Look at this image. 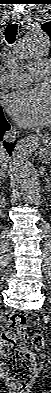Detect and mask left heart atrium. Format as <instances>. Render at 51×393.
<instances>
[{
    "mask_svg": "<svg viewBox=\"0 0 51 393\" xmlns=\"http://www.w3.org/2000/svg\"><path fill=\"white\" fill-rule=\"evenodd\" d=\"M8 112L25 126H48L51 122V97L44 89H25L8 96Z\"/></svg>",
    "mask_w": 51,
    "mask_h": 393,
    "instance_id": "left-heart-atrium-1",
    "label": "left heart atrium"
}]
</instances>
